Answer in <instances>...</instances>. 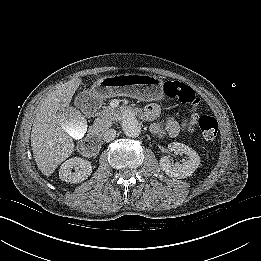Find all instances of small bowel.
<instances>
[{
  "label": "small bowel",
  "mask_w": 261,
  "mask_h": 261,
  "mask_svg": "<svg viewBox=\"0 0 261 261\" xmlns=\"http://www.w3.org/2000/svg\"><path fill=\"white\" fill-rule=\"evenodd\" d=\"M160 113V107L158 104L152 103L146 106L144 110V116L154 118L158 116ZM187 126V121L182 120L178 122L174 118H169L166 121L165 126H161L158 123H153L150 127V130L153 134L158 136H166L169 138H174L180 134Z\"/></svg>",
  "instance_id": "1"
}]
</instances>
